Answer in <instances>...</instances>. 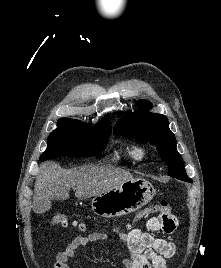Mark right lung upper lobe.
<instances>
[{"instance_id": "1", "label": "right lung upper lobe", "mask_w": 221, "mask_h": 268, "mask_svg": "<svg viewBox=\"0 0 221 268\" xmlns=\"http://www.w3.org/2000/svg\"><path fill=\"white\" fill-rule=\"evenodd\" d=\"M98 126H104V127H111V121L108 115L104 117V119L101 121V124Z\"/></svg>"}]
</instances>
